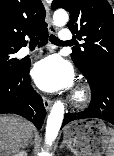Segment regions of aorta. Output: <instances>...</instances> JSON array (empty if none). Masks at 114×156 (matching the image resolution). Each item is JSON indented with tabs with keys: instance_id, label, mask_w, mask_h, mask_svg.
<instances>
[{
	"instance_id": "1",
	"label": "aorta",
	"mask_w": 114,
	"mask_h": 156,
	"mask_svg": "<svg viewBox=\"0 0 114 156\" xmlns=\"http://www.w3.org/2000/svg\"><path fill=\"white\" fill-rule=\"evenodd\" d=\"M68 20L69 16L65 10L58 9L54 12L53 21L56 26L62 27L67 24ZM63 117H64V104L61 101H57L54 103L47 119L45 133L47 145H51L52 142L56 139L60 127L62 125Z\"/></svg>"
}]
</instances>
